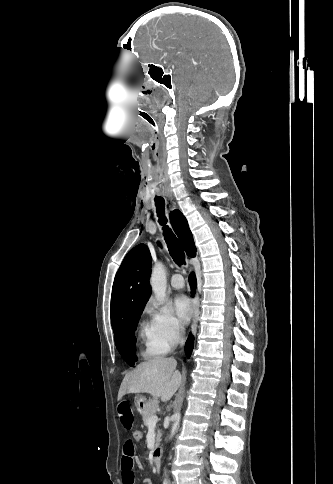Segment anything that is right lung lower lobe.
Instances as JSON below:
<instances>
[{
    "mask_svg": "<svg viewBox=\"0 0 333 484\" xmlns=\"http://www.w3.org/2000/svg\"><path fill=\"white\" fill-rule=\"evenodd\" d=\"M189 282H190L191 287L194 289L195 286H196V279H195V276H194L193 273L189 276ZM193 343H194V338H193L192 335H189V337L186 341V344H185V352H186L187 357H189L191 352H192Z\"/></svg>",
    "mask_w": 333,
    "mask_h": 484,
    "instance_id": "right-lung-lower-lobe-1",
    "label": "right lung lower lobe"
}]
</instances>
